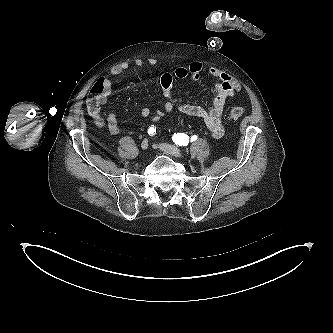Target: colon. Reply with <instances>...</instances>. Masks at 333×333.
I'll use <instances>...</instances> for the list:
<instances>
[{
  "instance_id": "1",
  "label": "colon",
  "mask_w": 333,
  "mask_h": 333,
  "mask_svg": "<svg viewBox=\"0 0 333 333\" xmlns=\"http://www.w3.org/2000/svg\"><path fill=\"white\" fill-rule=\"evenodd\" d=\"M103 83L98 80L90 91L89 98L87 100V108L91 116H97L100 114L101 99L103 96ZM245 113L243 107H234L228 113V119L231 121L237 120Z\"/></svg>"
}]
</instances>
